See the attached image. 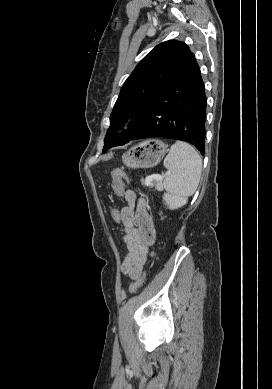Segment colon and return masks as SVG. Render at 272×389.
<instances>
[{
  "label": "colon",
  "mask_w": 272,
  "mask_h": 389,
  "mask_svg": "<svg viewBox=\"0 0 272 389\" xmlns=\"http://www.w3.org/2000/svg\"><path fill=\"white\" fill-rule=\"evenodd\" d=\"M127 177L121 169H114L111 171L112 189L115 195L122 196L125 190V181ZM111 217L115 223L121 222V211L118 208L111 210ZM145 275L139 277L131 284L130 290L132 293H136L144 284Z\"/></svg>",
  "instance_id": "1"
}]
</instances>
